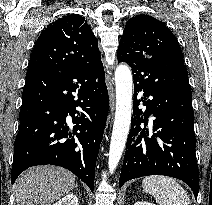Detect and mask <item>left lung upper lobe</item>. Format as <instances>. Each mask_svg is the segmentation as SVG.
Listing matches in <instances>:
<instances>
[{
	"label": "left lung upper lobe",
	"instance_id": "obj_1",
	"mask_svg": "<svg viewBox=\"0 0 212 205\" xmlns=\"http://www.w3.org/2000/svg\"><path fill=\"white\" fill-rule=\"evenodd\" d=\"M162 56L183 62L179 43L170 29L149 15L130 18L117 51L118 62L129 65L142 57Z\"/></svg>",
	"mask_w": 212,
	"mask_h": 205
}]
</instances>
